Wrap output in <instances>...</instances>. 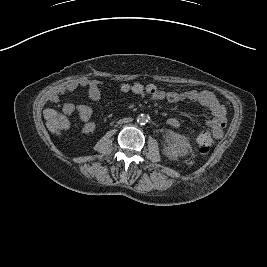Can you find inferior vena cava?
I'll list each match as a JSON object with an SVG mask.
<instances>
[{
  "label": "inferior vena cava",
  "instance_id": "inferior-vena-cava-1",
  "mask_svg": "<svg viewBox=\"0 0 267 267\" xmlns=\"http://www.w3.org/2000/svg\"><path fill=\"white\" fill-rule=\"evenodd\" d=\"M131 121H132V118H124V119L122 120L123 123H129V122H131Z\"/></svg>",
  "mask_w": 267,
  "mask_h": 267
}]
</instances>
